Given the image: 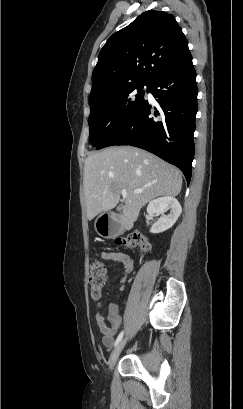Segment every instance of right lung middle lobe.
<instances>
[{
    "instance_id": "obj_1",
    "label": "right lung middle lobe",
    "mask_w": 243,
    "mask_h": 409,
    "mask_svg": "<svg viewBox=\"0 0 243 409\" xmlns=\"http://www.w3.org/2000/svg\"><path fill=\"white\" fill-rule=\"evenodd\" d=\"M144 86L148 91L150 84L134 83L90 103L89 140L96 149L107 147L144 103Z\"/></svg>"
}]
</instances>
